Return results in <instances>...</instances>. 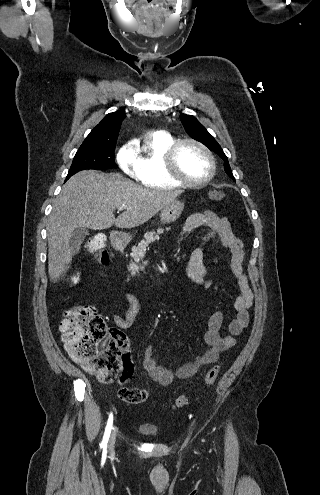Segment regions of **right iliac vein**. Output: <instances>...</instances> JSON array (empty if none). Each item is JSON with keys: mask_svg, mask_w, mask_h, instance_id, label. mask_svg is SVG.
<instances>
[{"mask_svg": "<svg viewBox=\"0 0 320 495\" xmlns=\"http://www.w3.org/2000/svg\"><path fill=\"white\" fill-rule=\"evenodd\" d=\"M115 440H116V430L113 429L112 434H111L110 439H109V443H108V450L109 451L113 450L114 445H115Z\"/></svg>", "mask_w": 320, "mask_h": 495, "instance_id": "obj_1", "label": "right iliac vein"}]
</instances>
